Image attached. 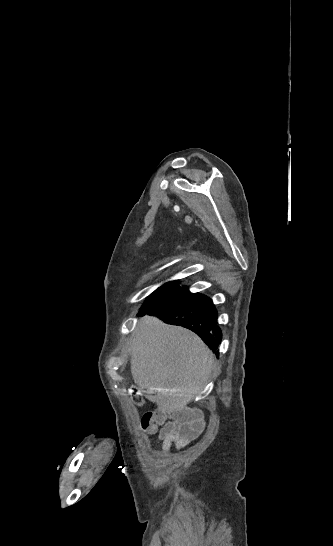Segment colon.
Returning a JSON list of instances; mask_svg holds the SVG:
<instances>
[{
	"mask_svg": "<svg viewBox=\"0 0 333 546\" xmlns=\"http://www.w3.org/2000/svg\"><path fill=\"white\" fill-rule=\"evenodd\" d=\"M138 401L140 400L138 399ZM141 426L145 431L153 433L156 430L154 414L146 413L141 419Z\"/></svg>",
	"mask_w": 333,
	"mask_h": 546,
	"instance_id": "colon-1",
	"label": "colon"
}]
</instances>
